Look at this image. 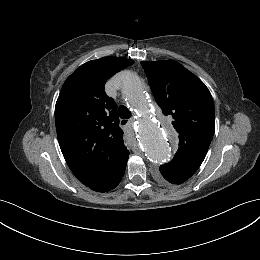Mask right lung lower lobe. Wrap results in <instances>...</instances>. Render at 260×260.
<instances>
[{
	"label": "right lung lower lobe",
	"mask_w": 260,
	"mask_h": 260,
	"mask_svg": "<svg viewBox=\"0 0 260 260\" xmlns=\"http://www.w3.org/2000/svg\"><path fill=\"white\" fill-rule=\"evenodd\" d=\"M125 170L121 171V173L112 181H108L102 184H99L94 187H90L92 190L97 191V192H107L112 189H114L121 181L123 175H124Z\"/></svg>",
	"instance_id": "right-lung-lower-lobe-1"
}]
</instances>
